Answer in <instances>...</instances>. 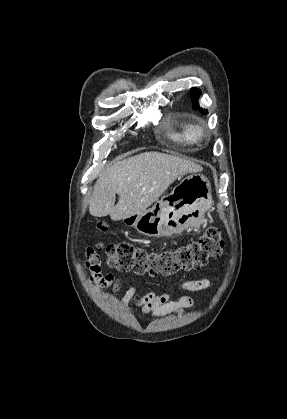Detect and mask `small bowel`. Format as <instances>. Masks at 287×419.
Segmentation results:
<instances>
[{
	"instance_id": "obj_1",
	"label": "small bowel",
	"mask_w": 287,
	"mask_h": 419,
	"mask_svg": "<svg viewBox=\"0 0 287 419\" xmlns=\"http://www.w3.org/2000/svg\"><path fill=\"white\" fill-rule=\"evenodd\" d=\"M86 259L83 262L85 269H88L92 273V279L95 280L100 287L112 286V290L109 293L100 291L101 294L109 295L116 293L121 288L123 279L121 277H115L113 274H107L103 276L101 274V260L95 256L92 252H86ZM208 285L207 280H188L183 283V288L190 291H197L205 288ZM136 287L134 279H131V285L126 291L123 297V303H127L135 294ZM170 296L168 293L157 295L150 291L146 293L137 302L136 306L140 309L143 314H152L154 317H162L169 314L181 313L186 308L192 305V299L190 297H182L176 302L169 300Z\"/></svg>"
}]
</instances>
